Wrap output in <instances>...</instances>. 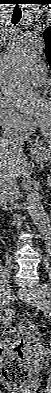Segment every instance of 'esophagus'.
Returning a JSON list of instances; mask_svg holds the SVG:
<instances>
[{"mask_svg":"<svg viewBox=\"0 0 51 393\" xmlns=\"http://www.w3.org/2000/svg\"><path fill=\"white\" fill-rule=\"evenodd\" d=\"M40 149L39 144H34L31 148V153H36Z\"/></svg>","mask_w":51,"mask_h":393,"instance_id":"1","label":"esophagus"}]
</instances>
